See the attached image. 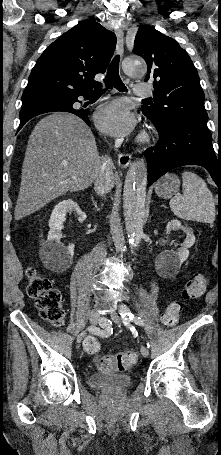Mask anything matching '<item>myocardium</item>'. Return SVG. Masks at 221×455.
<instances>
[{"label": "myocardium", "instance_id": "myocardium-1", "mask_svg": "<svg viewBox=\"0 0 221 455\" xmlns=\"http://www.w3.org/2000/svg\"><path fill=\"white\" fill-rule=\"evenodd\" d=\"M149 139V136L147 133H143L141 136H140V140L141 141H147Z\"/></svg>", "mask_w": 221, "mask_h": 455}]
</instances>
